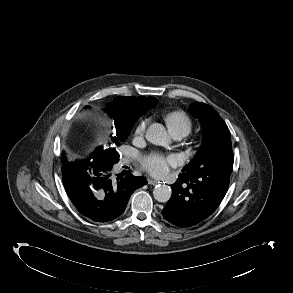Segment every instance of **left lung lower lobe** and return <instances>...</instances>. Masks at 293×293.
Returning <instances> with one entry per match:
<instances>
[{
  "mask_svg": "<svg viewBox=\"0 0 293 293\" xmlns=\"http://www.w3.org/2000/svg\"><path fill=\"white\" fill-rule=\"evenodd\" d=\"M230 175L229 171L180 173L171 186L172 196L162 215L179 227H190L201 222L221 203Z\"/></svg>",
  "mask_w": 293,
  "mask_h": 293,
  "instance_id": "1",
  "label": "left lung lower lobe"
}]
</instances>
